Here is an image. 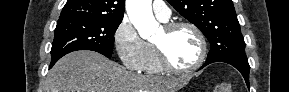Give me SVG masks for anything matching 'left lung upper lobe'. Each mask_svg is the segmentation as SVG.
I'll return each instance as SVG.
<instances>
[{
    "mask_svg": "<svg viewBox=\"0 0 289 92\" xmlns=\"http://www.w3.org/2000/svg\"><path fill=\"white\" fill-rule=\"evenodd\" d=\"M207 37L211 49L206 61L218 58L247 60L245 42L232 0H167Z\"/></svg>",
    "mask_w": 289,
    "mask_h": 92,
    "instance_id": "left-lung-upper-lobe-1",
    "label": "left lung upper lobe"
}]
</instances>
